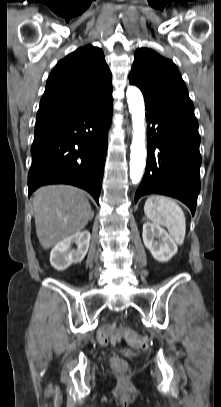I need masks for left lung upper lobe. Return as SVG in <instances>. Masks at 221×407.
Wrapping results in <instances>:
<instances>
[{"label": "left lung upper lobe", "mask_w": 221, "mask_h": 407, "mask_svg": "<svg viewBox=\"0 0 221 407\" xmlns=\"http://www.w3.org/2000/svg\"><path fill=\"white\" fill-rule=\"evenodd\" d=\"M134 57L129 80L141 89L145 101L190 100L180 72L171 60L149 48L138 49Z\"/></svg>", "instance_id": "1"}]
</instances>
